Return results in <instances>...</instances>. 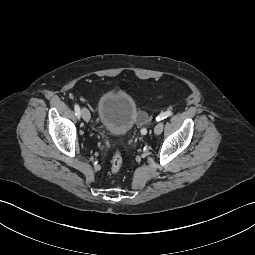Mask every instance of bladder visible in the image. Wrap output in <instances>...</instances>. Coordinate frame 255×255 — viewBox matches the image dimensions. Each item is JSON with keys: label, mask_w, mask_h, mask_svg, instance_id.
<instances>
[{"label": "bladder", "mask_w": 255, "mask_h": 255, "mask_svg": "<svg viewBox=\"0 0 255 255\" xmlns=\"http://www.w3.org/2000/svg\"><path fill=\"white\" fill-rule=\"evenodd\" d=\"M135 99L125 91H108L97 104V117L104 130L113 136H123L137 122Z\"/></svg>", "instance_id": "bladder-1"}]
</instances>
